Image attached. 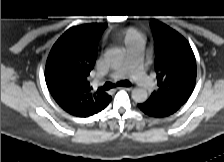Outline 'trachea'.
<instances>
[{"label": "trachea", "mask_w": 224, "mask_h": 162, "mask_svg": "<svg viewBox=\"0 0 224 162\" xmlns=\"http://www.w3.org/2000/svg\"><path fill=\"white\" fill-rule=\"evenodd\" d=\"M130 82L128 80H124V81H120L117 83V86H124V87H128L130 86ZM116 85L111 83V82H106L103 86V89L105 90H109L111 88H114Z\"/></svg>", "instance_id": "1"}]
</instances>
